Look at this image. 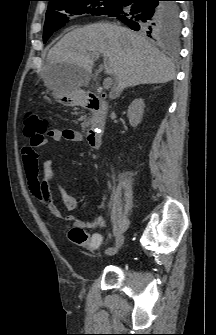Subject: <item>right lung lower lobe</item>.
<instances>
[{
    "instance_id": "right-lung-lower-lobe-1",
    "label": "right lung lower lobe",
    "mask_w": 216,
    "mask_h": 335,
    "mask_svg": "<svg viewBox=\"0 0 216 335\" xmlns=\"http://www.w3.org/2000/svg\"><path fill=\"white\" fill-rule=\"evenodd\" d=\"M172 0H120L108 16L116 17L132 30L155 36L179 24L177 6Z\"/></svg>"
}]
</instances>
